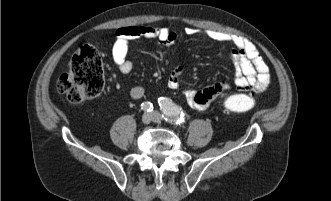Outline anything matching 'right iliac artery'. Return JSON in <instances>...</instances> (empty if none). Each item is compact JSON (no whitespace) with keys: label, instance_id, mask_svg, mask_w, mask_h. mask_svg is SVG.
Segmentation results:
<instances>
[{"label":"right iliac artery","instance_id":"right-iliac-artery-1","mask_svg":"<svg viewBox=\"0 0 331 201\" xmlns=\"http://www.w3.org/2000/svg\"><path fill=\"white\" fill-rule=\"evenodd\" d=\"M141 108H142L144 111L150 112V111L153 110V105H152L151 102L146 101V102H143V103L141 104Z\"/></svg>","mask_w":331,"mask_h":201}]
</instances>
